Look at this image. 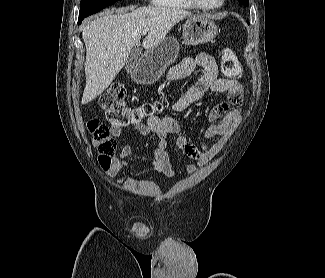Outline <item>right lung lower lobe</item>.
<instances>
[{
	"instance_id": "1",
	"label": "right lung lower lobe",
	"mask_w": 325,
	"mask_h": 278,
	"mask_svg": "<svg viewBox=\"0 0 325 278\" xmlns=\"http://www.w3.org/2000/svg\"><path fill=\"white\" fill-rule=\"evenodd\" d=\"M83 18H85V17H80L79 18L78 24H80L82 22Z\"/></svg>"
}]
</instances>
